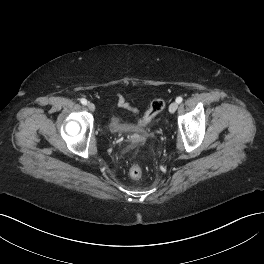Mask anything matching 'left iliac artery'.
<instances>
[{
    "mask_svg": "<svg viewBox=\"0 0 264 264\" xmlns=\"http://www.w3.org/2000/svg\"><path fill=\"white\" fill-rule=\"evenodd\" d=\"M182 100H183V98L182 97H177L176 98V102L179 104V103H181L182 102Z\"/></svg>",
    "mask_w": 264,
    "mask_h": 264,
    "instance_id": "obj_1",
    "label": "left iliac artery"
}]
</instances>
